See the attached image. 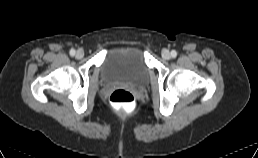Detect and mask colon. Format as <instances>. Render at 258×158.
Returning <instances> with one entry per match:
<instances>
[{
    "instance_id": "1",
    "label": "colon",
    "mask_w": 258,
    "mask_h": 158,
    "mask_svg": "<svg viewBox=\"0 0 258 158\" xmlns=\"http://www.w3.org/2000/svg\"><path fill=\"white\" fill-rule=\"evenodd\" d=\"M110 103L116 108L130 111L135 104V98L130 91L126 89H117L111 94Z\"/></svg>"
}]
</instances>
